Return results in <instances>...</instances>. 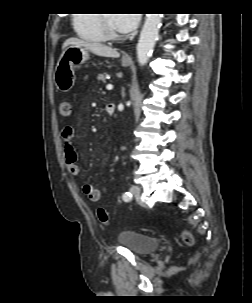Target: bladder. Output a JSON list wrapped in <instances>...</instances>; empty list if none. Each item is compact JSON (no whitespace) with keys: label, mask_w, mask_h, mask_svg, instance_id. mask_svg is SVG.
Returning <instances> with one entry per match:
<instances>
[{"label":"bladder","mask_w":252,"mask_h":303,"mask_svg":"<svg viewBox=\"0 0 252 303\" xmlns=\"http://www.w3.org/2000/svg\"><path fill=\"white\" fill-rule=\"evenodd\" d=\"M117 240L133 253L145 256L156 251L159 246V240L145 233L138 231H123L121 232Z\"/></svg>","instance_id":"bladder-1"}]
</instances>
